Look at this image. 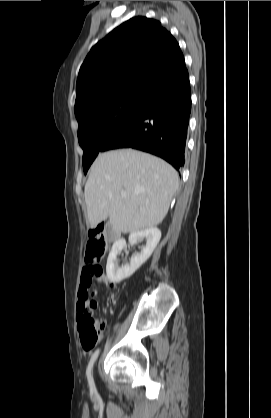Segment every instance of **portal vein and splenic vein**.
Returning a JSON list of instances; mask_svg holds the SVG:
<instances>
[{"instance_id": "18ae733b", "label": "portal vein and splenic vein", "mask_w": 271, "mask_h": 418, "mask_svg": "<svg viewBox=\"0 0 271 418\" xmlns=\"http://www.w3.org/2000/svg\"><path fill=\"white\" fill-rule=\"evenodd\" d=\"M121 196H122V198H125L126 197V194L123 193Z\"/></svg>"}]
</instances>
